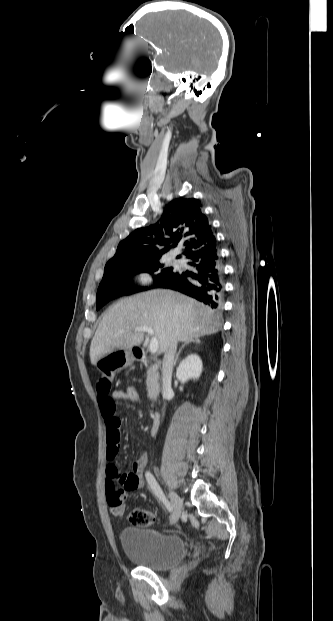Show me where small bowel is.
Here are the masks:
<instances>
[{
    "label": "small bowel",
    "mask_w": 333,
    "mask_h": 621,
    "mask_svg": "<svg viewBox=\"0 0 333 621\" xmlns=\"http://www.w3.org/2000/svg\"><path fill=\"white\" fill-rule=\"evenodd\" d=\"M97 389L99 409L106 428V455L109 461H113L118 454L120 443V420L116 414V401L122 400L123 391L115 390L111 394V382L106 377L100 379ZM145 465L146 457L144 455L139 456L133 461L131 469L126 472L132 481V485L129 488L119 487L117 485L115 478L109 474V467L111 466L109 465L106 480V495L107 503L111 510L116 507L124 509V503L128 494L143 487V470Z\"/></svg>",
    "instance_id": "small-bowel-1"
}]
</instances>
